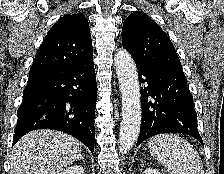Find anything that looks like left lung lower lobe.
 Instances as JSON below:
<instances>
[{"label": "left lung lower lobe", "mask_w": 224, "mask_h": 174, "mask_svg": "<svg viewBox=\"0 0 224 174\" xmlns=\"http://www.w3.org/2000/svg\"><path fill=\"white\" fill-rule=\"evenodd\" d=\"M136 67L140 82L146 84L141 92L142 124L137 145L161 133L188 134L203 144L185 75L140 64Z\"/></svg>", "instance_id": "left-lung-lower-lobe-1"}]
</instances>
